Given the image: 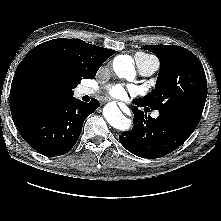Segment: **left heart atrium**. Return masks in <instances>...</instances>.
<instances>
[{
  "mask_svg": "<svg viewBox=\"0 0 221 221\" xmlns=\"http://www.w3.org/2000/svg\"><path fill=\"white\" fill-rule=\"evenodd\" d=\"M111 96L115 98H124L126 97V90L121 85H114L109 89Z\"/></svg>",
  "mask_w": 221,
  "mask_h": 221,
  "instance_id": "39dd6f15",
  "label": "left heart atrium"
}]
</instances>
